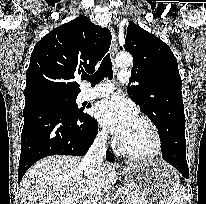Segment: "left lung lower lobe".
<instances>
[{"mask_svg":"<svg viewBox=\"0 0 206 204\" xmlns=\"http://www.w3.org/2000/svg\"><path fill=\"white\" fill-rule=\"evenodd\" d=\"M162 158L174 166L186 179L189 177L186 161L185 120L172 124L166 134L160 137Z\"/></svg>","mask_w":206,"mask_h":204,"instance_id":"left-lung-lower-lobe-1","label":"left lung lower lobe"}]
</instances>
